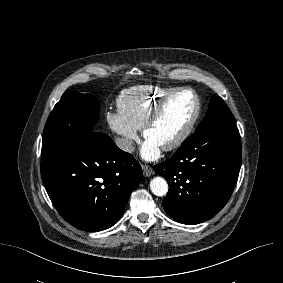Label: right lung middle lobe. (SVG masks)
I'll list each match as a JSON object with an SVG mask.
<instances>
[{
    "label": "right lung middle lobe",
    "instance_id": "dd1d6c3e",
    "mask_svg": "<svg viewBox=\"0 0 283 283\" xmlns=\"http://www.w3.org/2000/svg\"><path fill=\"white\" fill-rule=\"evenodd\" d=\"M99 104L91 94L65 92L50 113L43 133L42 161H47L80 137L93 132Z\"/></svg>",
    "mask_w": 283,
    "mask_h": 283
}]
</instances>
